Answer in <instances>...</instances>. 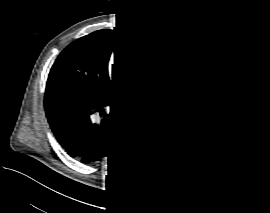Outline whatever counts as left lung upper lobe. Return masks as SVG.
Returning a JSON list of instances; mask_svg holds the SVG:
<instances>
[{
  "label": "left lung upper lobe",
  "instance_id": "5c2ea615",
  "mask_svg": "<svg viewBox=\"0 0 270 213\" xmlns=\"http://www.w3.org/2000/svg\"><path fill=\"white\" fill-rule=\"evenodd\" d=\"M199 55L197 78L177 101L212 104L218 108L229 100L228 72L221 58L205 43L192 39Z\"/></svg>",
  "mask_w": 270,
  "mask_h": 213
}]
</instances>
